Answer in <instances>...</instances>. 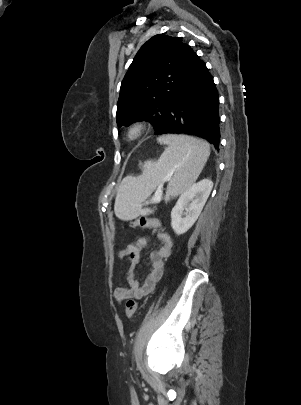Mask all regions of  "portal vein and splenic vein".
Returning <instances> with one entry per match:
<instances>
[{
    "label": "portal vein and splenic vein",
    "instance_id": "obj_1",
    "mask_svg": "<svg viewBox=\"0 0 301 405\" xmlns=\"http://www.w3.org/2000/svg\"><path fill=\"white\" fill-rule=\"evenodd\" d=\"M161 194H162L161 189H158V190L155 192V194H154V196H153V198H152V201H154V202H159V201L161 200Z\"/></svg>",
    "mask_w": 301,
    "mask_h": 405
}]
</instances>
